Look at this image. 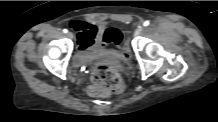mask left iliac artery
<instances>
[{
  "mask_svg": "<svg viewBox=\"0 0 218 122\" xmlns=\"http://www.w3.org/2000/svg\"><path fill=\"white\" fill-rule=\"evenodd\" d=\"M149 24H150V22H149L148 20L143 23V25H144L145 27L148 26Z\"/></svg>",
  "mask_w": 218,
  "mask_h": 122,
  "instance_id": "left-iliac-artery-1",
  "label": "left iliac artery"
}]
</instances>
